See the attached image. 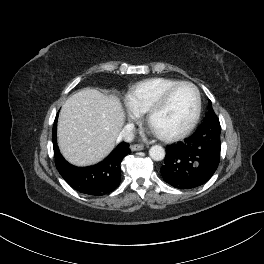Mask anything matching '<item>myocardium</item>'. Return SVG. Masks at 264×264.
<instances>
[{"label":"myocardium","mask_w":264,"mask_h":264,"mask_svg":"<svg viewBox=\"0 0 264 264\" xmlns=\"http://www.w3.org/2000/svg\"><path fill=\"white\" fill-rule=\"evenodd\" d=\"M182 85H188V86L193 88V90L195 92V96H196L195 111H194V114H193L191 120L189 121V123L180 131H177V132L171 133V134H163V133L155 132L153 130L155 132V134L161 140L166 141V142H173V141H177V140L184 138L197 125V123L200 119L201 111H202V98H201V92H200L199 88L194 83H192L190 81H186V80L178 81V82L170 85L169 87H167L163 91L161 96L151 105V107L147 111L146 122H147V125L151 128V121H152V118L154 117V115L167 104L172 92L176 88H178Z\"/></svg>","instance_id":"obj_1"}]
</instances>
